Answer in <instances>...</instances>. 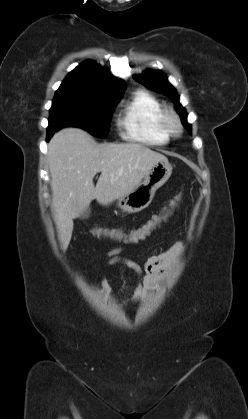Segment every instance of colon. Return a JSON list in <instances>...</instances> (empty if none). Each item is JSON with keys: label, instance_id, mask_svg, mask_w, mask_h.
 <instances>
[{"label": "colon", "instance_id": "5ec220e1", "mask_svg": "<svg viewBox=\"0 0 248 419\" xmlns=\"http://www.w3.org/2000/svg\"><path fill=\"white\" fill-rule=\"evenodd\" d=\"M180 196L174 198L171 203L158 215H155L151 220H149L145 225L144 231H153L155 230L159 224L166 220V218L170 215L172 210L178 206L180 202ZM95 233L102 238H110L115 240H122L125 239V234L117 229H107V228H98L95 230Z\"/></svg>", "mask_w": 248, "mask_h": 419}]
</instances>
